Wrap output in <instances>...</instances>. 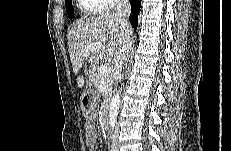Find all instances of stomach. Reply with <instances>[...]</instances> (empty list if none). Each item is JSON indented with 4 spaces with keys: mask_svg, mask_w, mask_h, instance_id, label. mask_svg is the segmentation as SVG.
<instances>
[{
    "mask_svg": "<svg viewBox=\"0 0 231 151\" xmlns=\"http://www.w3.org/2000/svg\"><path fill=\"white\" fill-rule=\"evenodd\" d=\"M96 91L93 89H88L84 91L80 97L81 109L84 112H91L95 108L96 104Z\"/></svg>",
    "mask_w": 231,
    "mask_h": 151,
    "instance_id": "1",
    "label": "stomach"
}]
</instances>
